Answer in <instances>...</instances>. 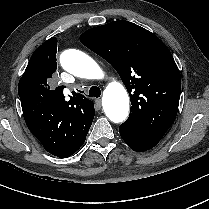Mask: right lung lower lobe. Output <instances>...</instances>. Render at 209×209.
Instances as JSON below:
<instances>
[{
  "label": "right lung lower lobe",
  "instance_id": "98d812e1",
  "mask_svg": "<svg viewBox=\"0 0 209 209\" xmlns=\"http://www.w3.org/2000/svg\"><path fill=\"white\" fill-rule=\"evenodd\" d=\"M21 106L27 127L49 153L57 157H68L84 143L85 139L75 145L69 144L65 140L66 132L51 125L54 110L50 103L30 101Z\"/></svg>",
  "mask_w": 209,
  "mask_h": 209
}]
</instances>
